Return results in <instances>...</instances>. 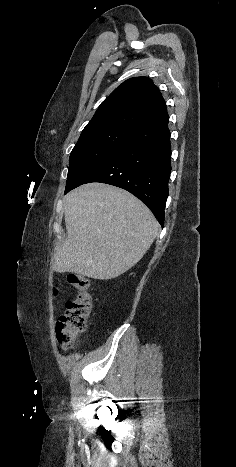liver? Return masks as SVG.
<instances>
[{
  "mask_svg": "<svg viewBox=\"0 0 236 467\" xmlns=\"http://www.w3.org/2000/svg\"><path fill=\"white\" fill-rule=\"evenodd\" d=\"M67 237L52 269L93 279L120 276L141 260L158 235L152 212L115 186L91 183L64 198Z\"/></svg>",
  "mask_w": 236,
  "mask_h": 467,
  "instance_id": "liver-1",
  "label": "liver"
}]
</instances>
